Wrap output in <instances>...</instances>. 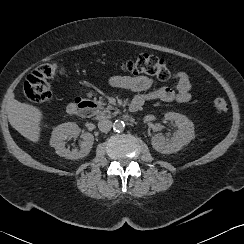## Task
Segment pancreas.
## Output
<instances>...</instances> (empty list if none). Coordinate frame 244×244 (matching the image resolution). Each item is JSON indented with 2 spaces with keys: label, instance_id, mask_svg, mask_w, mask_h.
<instances>
[{
  "label": "pancreas",
  "instance_id": "obj_1",
  "mask_svg": "<svg viewBox=\"0 0 244 244\" xmlns=\"http://www.w3.org/2000/svg\"><path fill=\"white\" fill-rule=\"evenodd\" d=\"M112 108V107H111ZM110 113V111H109V109L108 108H104V109H102L99 113H98V115L99 116H104V115H106V114H109Z\"/></svg>",
  "mask_w": 244,
  "mask_h": 244
}]
</instances>
